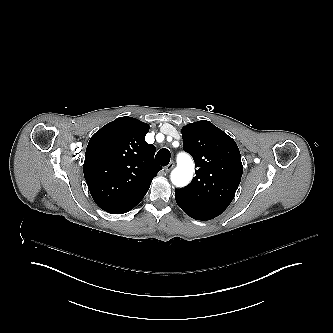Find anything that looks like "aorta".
Segmentation results:
<instances>
[{"label": "aorta", "instance_id": "obj_1", "mask_svg": "<svg viewBox=\"0 0 333 333\" xmlns=\"http://www.w3.org/2000/svg\"><path fill=\"white\" fill-rule=\"evenodd\" d=\"M193 175V163L190 158L184 161L183 165H178L171 174L172 181L177 186H184L191 180Z\"/></svg>", "mask_w": 333, "mask_h": 333}]
</instances>
